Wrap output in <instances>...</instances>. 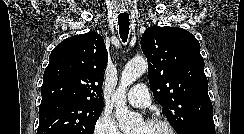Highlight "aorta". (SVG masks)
Here are the masks:
<instances>
[{
    "label": "aorta",
    "instance_id": "762f6f07",
    "mask_svg": "<svg viewBox=\"0 0 244 134\" xmlns=\"http://www.w3.org/2000/svg\"><path fill=\"white\" fill-rule=\"evenodd\" d=\"M146 69L147 61L142 57H136L129 61L122 72L119 86L112 95L116 118L122 129L134 127V125L141 119V116L138 113L129 111L126 104V91L127 88L146 71Z\"/></svg>",
    "mask_w": 244,
    "mask_h": 134
}]
</instances>
